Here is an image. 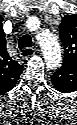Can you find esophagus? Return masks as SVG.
<instances>
[{
    "instance_id": "1",
    "label": "esophagus",
    "mask_w": 77,
    "mask_h": 125,
    "mask_svg": "<svg viewBox=\"0 0 77 125\" xmlns=\"http://www.w3.org/2000/svg\"><path fill=\"white\" fill-rule=\"evenodd\" d=\"M35 54V51L33 48L30 47H25L22 49V51L20 52V56L23 59L29 58L30 56H33Z\"/></svg>"
}]
</instances>
